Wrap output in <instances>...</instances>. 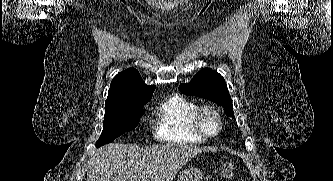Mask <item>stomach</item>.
<instances>
[{
  "label": "stomach",
  "mask_w": 333,
  "mask_h": 181,
  "mask_svg": "<svg viewBox=\"0 0 333 181\" xmlns=\"http://www.w3.org/2000/svg\"><path fill=\"white\" fill-rule=\"evenodd\" d=\"M205 175L200 168L187 167L180 172L179 181H204Z\"/></svg>",
  "instance_id": "obj_1"
}]
</instances>
